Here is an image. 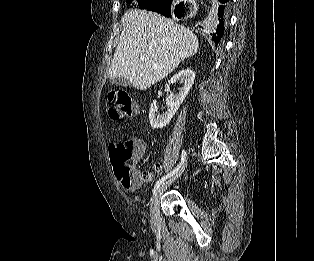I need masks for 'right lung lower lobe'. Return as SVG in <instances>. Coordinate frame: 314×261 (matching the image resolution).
Segmentation results:
<instances>
[{
	"instance_id": "98d812e1",
	"label": "right lung lower lobe",
	"mask_w": 314,
	"mask_h": 261,
	"mask_svg": "<svg viewBox=\"0 0 314 261\" xmlns=\"http://www.w3.org/2000/svg\"><path fill=\"white\" fill-rule=\"evenodd\" d=\"M178 2V0H162L161 2L148 7L147 10L158 12L166 17L181 18L183 5L181 3L178 4ZM215 2L218 18L216 26L212 28L210 35L217 47L221 44L224 35L229 0H215Z\"/></svg>"
}]
</instances>
